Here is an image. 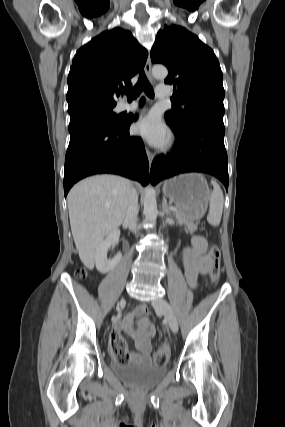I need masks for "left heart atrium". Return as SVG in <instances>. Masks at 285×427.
<instances>
[{"label": "left heart atrium", "mask_w": 285, "mask_h": 427, "mask_svg": "<svg viewBox=\"0 0 285 427\" xmlns=\"http://www.w3.org/2000/svg\"><path fill=\"white\" fill-rule=\"evenodd\" d=\"M135 132L155 146L165 145L170 138L169 130L155 113H149L135 124Z\"/></svg>", "instance_id": "obj_1"}]
</instances>
